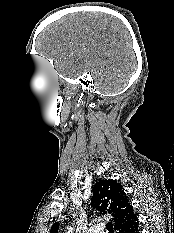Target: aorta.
Returning <instances> with one entry per match:
<instances>
[{
    "label": "aorta",
    "mask_w": 174,
    "mask_h": 233,
    "mask_svg": "<svg viewBox=\"0 0 174 233\" xmlns=\"http://www.w3.org/2000/svg\"><path fill=\"white\" fill-rule=\"evenodd\" d=\"M67 229H68L67 233H72L73 232V228L72 227H68Z\"/></svg>",
    "instance_id": "aorta-1"
}]
</instances>
